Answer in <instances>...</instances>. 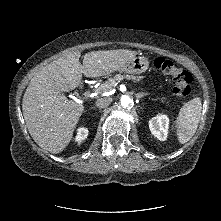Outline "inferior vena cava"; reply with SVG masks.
<instances>
[{
  "mask_svg": "<svg viewBox=\"0 0 221 221\" xmlns=\"http://www.w3.org/2000/svg\"><path fill=\"white\" fill-rule=\"evenodd\" d=\"M112 102V99L109 98V97H103V98H99L95 105L96 107L100 108V109H103V108H106L110 105V103Z\"/></svg>",
  "mask_w": 221,
  "mask_h": 221,
  "instance_id": "obj_1",
  "label": "inferior vena cava"
}]
</instances>
